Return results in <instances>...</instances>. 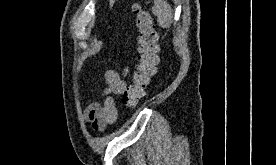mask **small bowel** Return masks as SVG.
I'll return each instance as SVG.
<instances>
[{
  "instance_id": "c3829d8e",
  "label": "small bowel",
  "mask_w": 276,
  "mask_h": 165,
  "mask_svg": "<svg viewBox=\"0 0 276 165\" xmlns=\"http://www.w3.org/2000/svg\"><path fill=\"white\" fill-rule=\"evenodd\" d=\"M126 68L121 75L116 70L109 69L105 72L106 98L102 105L92 104L85 111V119L94 130H102L105 126L112 124L117 119V110L111 96L122 95L127 89L124 76L128 73Z\"/></svg>"
}]
</instances>
